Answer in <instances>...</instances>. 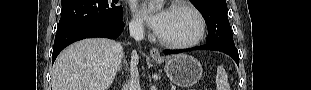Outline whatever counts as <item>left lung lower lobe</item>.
<instances>
[{
	"instance_id": "left-lung-lower-lobe-1",
	"label": "left lung lower lobe",
	"mask_w": 311,
	"mask_h": 90,
	"mask_svg": "<svg viewBox=\"0 0 311 90\" xmlns=\"http://www.w3.org/2000/svg\"><path fill=\"white\" fill-rule=\"evenodd\" d=\"M191 50H212V51H220L223 53L228 54L231 56L235 62L239 65V55H238V50L236 49L235 46H229V45H224V44H205L202 46H197L193 47L190 49H184V50H165L164 54H177V53H182L186 51H191Z\"/></svg>"
}]
</instances>
